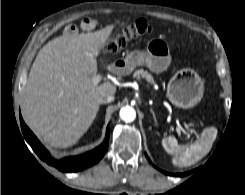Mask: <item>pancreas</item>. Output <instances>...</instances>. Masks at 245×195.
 <instances>
[{"label":"pancreas","mask_w":245,"mask_h":195,"mask_svg":"<svg viewBox=\"0 0 245 195\" xmlns=\"http://www.w3.org/2000/svg\"><path fill=\"white\" fill-rule=\"evenodd\" d=\"M133 76L135 78H144L147 82L149 83H154L153 77L150 73H148L147 71L140 69L134 72Z\"/></svg>","instance_id":"1"}]
</instances>
